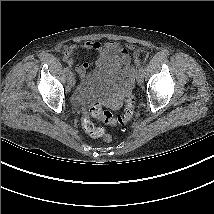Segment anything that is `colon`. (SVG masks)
Listing matches in <instances>:
<instances>
[{"instance_id":"1","label":"colon","mask_w":214,"mask_h":214,"mask_svg":"<svg viewBox=\"0 0 214 214\" xmlns=\"http://www.w3.org/2000/svg\"><path fill=\"white\" fill-rule=\"evenodd\" d=\"M134 104V96L132 94H128L125 100V110L123 114L120 117H116L111 112L103 110L98 103H95L90 106L88 113L84 115L82 121L83 127L90 136L96 138L101 137L105 142H110L112 140L111 135L108 134L103 128L95 127L89 116L98 118L108 125H125L133 116Z\"/></svg>"}]
</instances>
